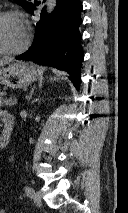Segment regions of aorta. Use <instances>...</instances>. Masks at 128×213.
Listing matches in <instances>:
<instances>
[{
	"label": "aorta",
	"mask_w": 128,
	"mask_h": 213,
	"mask_svg": "<svg viewBox=\"0 0 128 213\" xmlns=\"http://www.w3.org/2000/svg\"><path fill=\"white\" fill-rule=\"evenodd\" d=\"M56 3H57L56 0H47V8H46L47 13H51L54 11Z\"/></svg>",
	"instance_id": "762f6f07"
}]
</instances>
